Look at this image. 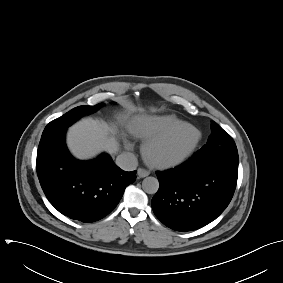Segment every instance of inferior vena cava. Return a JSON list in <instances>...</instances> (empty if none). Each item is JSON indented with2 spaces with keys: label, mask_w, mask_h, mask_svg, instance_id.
<instances>
[{
  "label": "inferior vena cava",
  "mask_w": 283,
  "mask_h": 283,
  "mask_svg": "<svg viewBox=\"0 0 283 283\" xmlns=\"http://www.w3.org/2000/svg\"><path fill=\"white\" fill-rule=\"evenodd\" d=\"M116 164L125 171H132L136 169L138 161L133 153L124 152L117 156Z\"/></svg>",
  "instance_id": "1"
}]
</instances>
